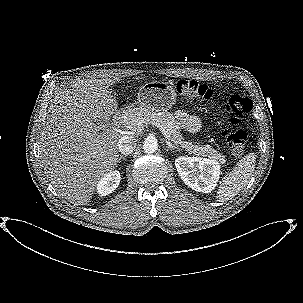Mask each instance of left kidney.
Instances as JSON below:
<instances>
[{"mask_svg":"<svg viewBox=\"0 0 303 303\" xmlns=\"http://www.w3.org/2000/svg\"><path fill=\"white\" fill-rule=\"evenodd\" d=\"M175 167L183 182L197 192L210 193L219 180L220 165L215 160L181 156Z\"/></svg>","mask_w":303,"mask_h":303,"instance_id":"1","label":"left kidney"}]
</instances>
